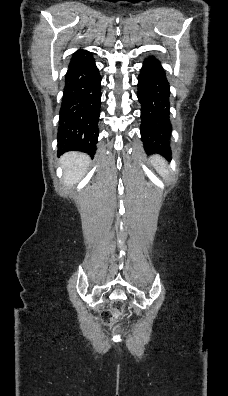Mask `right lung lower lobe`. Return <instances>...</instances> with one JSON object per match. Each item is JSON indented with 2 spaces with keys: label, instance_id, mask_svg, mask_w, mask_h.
<instances>
[{
  "label": "right lung lower lobe",
  "instance_id": "98d812e1",
  "mask_svg": "<svg viewBox=\"0 0 228 396\" xmlns=\"http://www.w3.org/2000/svg\"><path fill=\"white\" fill-rule=\"evenodd\" d=\"M68 67L60 109L58 155L81 151L93 156L99 135L101 77L88 51H76Z\"/></svg>",
  "mask_w": 228,
  "mask_h": 396
}]
</instances>
